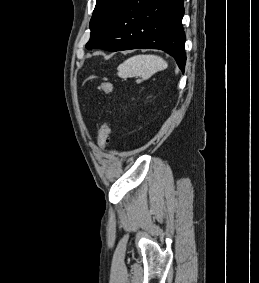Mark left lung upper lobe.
<instances>
[{"instance_id": "left-lung-upper-lobe-1", "label": "left lung upper lobe", "mask_w": 259, "mask_h": 283, "mask_svg": "<svg viewBox=\"0 0 259 283\" xmlns=\"http://www.w3.org/2000/svg\"><path fill=\"white\" fill-rule=\"evenodd\" d=\"M126 0H96L90 21L91 37L86 47L98 42L106 33Z\"/></svg>"}]
</instances>
